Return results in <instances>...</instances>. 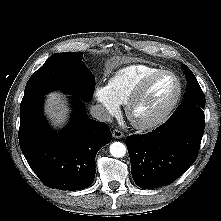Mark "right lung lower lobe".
<instances>
[{"mask_svg": "<svg viewBox=\"0 0 221 221\" xmlns=\"http://www.w3.org/2000/svg\"><path fill=\"white\" fill-rule=\"evenodd\" d=\"M68 128L51 132L42 117L43 97L20 111L19 144L29 166L47 187L75 191L94 180L95 157L112 134L102 122L87 117L81 98H73Z\"/></svg>", "mask_w": 221, "mask_h": 221, "instance_id": "1", "label": "right lung lower lobe"}]
</instances>
